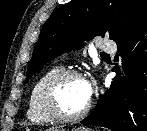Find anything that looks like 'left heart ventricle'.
<instances>
[{
  "mask_svg": "<svg viewBox=\"0 0 147 131\" xmlns=\"http://www.w3.org/2000/svg\"><path fill=\"white\" fill-rule=\"evenodd\" d=\"M58 102L67 114H75L84 109L88 100L85 96L83 80L78 78L66 80L58 91Z\"/></svg>",
  "mask_w": 147,
  "mask_h": 131,
  "instance_id": "left-heart-ventricle-1",
  "label": "left heart ventricle"
}]
</instances>
